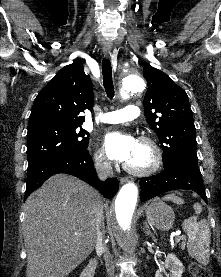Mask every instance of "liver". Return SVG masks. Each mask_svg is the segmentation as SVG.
I'll use <instances>...</instances> for the list:
<instances>
[{
    "mask_svg": "<svg viewBox=\"0 0 221 277\" xmlns=\"http://www.w3.org/2000/svg\"><path fill=\"white\" fill-rule=\"evenodd\" d=\"M100 194L70 175L50 177L25 203L27 277H67L93 251Z\"/></svg>",
    "mask_w": 221,
    "mask_h": 277,
    "instance_id": "liver-1",
    "label": "liver"
}]
</instances>
